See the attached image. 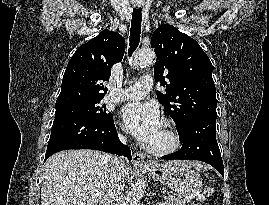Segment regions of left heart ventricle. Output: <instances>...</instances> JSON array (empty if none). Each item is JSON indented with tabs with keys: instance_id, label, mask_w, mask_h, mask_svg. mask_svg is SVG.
<instances>
[{
	"instance_id": "obj_1",
	"label": "left heart ventricle",
	"mask_w": 269,
	"mask_h": 205,
	"mask_svg": "<svg viewBox=\"0 0 269 205\" xmlns=\"http://www.w3.org/2000/svg\"><path fill=\"white\" fill-rule=\"evenodd\" d=\"M168 142H169V137L167 135L165 126L162 125L157 136L154 138V140L149 145L153 146V147H162V146L167 145Z\"/></svg>"
}]
</instances>
